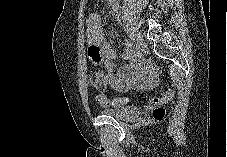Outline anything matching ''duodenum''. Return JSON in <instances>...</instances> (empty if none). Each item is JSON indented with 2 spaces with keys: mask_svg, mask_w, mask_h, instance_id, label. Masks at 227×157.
<instances>
[{
  "mask_svg": "<svg viewBox=\"0 0 227 157\" xmlns=\"http://www.w3.org/2000/svg\"><path fill=\"white\" fill-rule=\"evenodd\" d=\"M110 1V7L111 10L114 14L115 17H119L120 15V10H119V6L116 0H109Z\"/></svg>",
  "mask_w": 227,
  "mask_h": 157,
  "instance_id": "1",
  "label": "duodenum"
}]
</instances>
